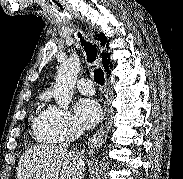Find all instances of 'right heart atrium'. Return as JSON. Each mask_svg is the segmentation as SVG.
Returning a JSON list of instances; mask_svg holds the SVG:
<instances>
[{
  "label": "right heart atrium",
  "mask_w": 183,
  "mask_h": 179,
  "mask_svg": "<svg viewBox=\"0 0 183 179\" xmlns=\"http://www.w3.org/2000/svg\"><path fill=\"white\" fill-rule=\"evenodd\" d=\"M36 130L49 140L59 141L77 132L79 127L68 111L57 106H49L44 111Z\"/></svg>",
  "instance_id": "right-heart-atrium-1"
}]
</instances>
